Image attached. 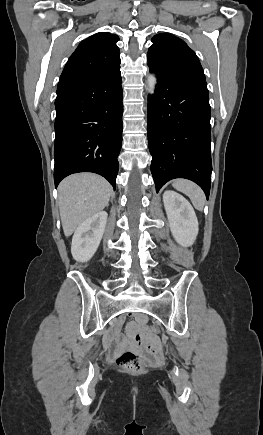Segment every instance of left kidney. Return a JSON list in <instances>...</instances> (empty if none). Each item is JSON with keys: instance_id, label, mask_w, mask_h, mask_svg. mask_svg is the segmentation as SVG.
Wrapping results in <instances>:
<instances>
[{"instance_id": "1", "label": "left kidney", "mask_w": 263, "mask_h": 435, "mask_svg": "<svg viewBox=\"0 0 263 435\" xmlns=\"http://www.w3.org/2000/svg\"><path fill=\"white\" fill-rule=\"evenodd\" d=\"M163 202L173 237L180 245L191 246L199 231L193 207L182 195L172 190L164 192Z\"/></svg>"}]
</instances>
